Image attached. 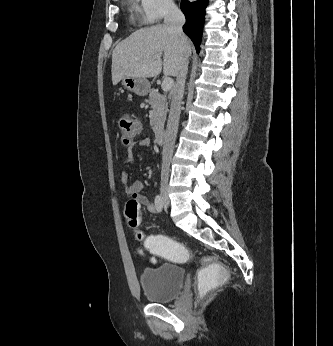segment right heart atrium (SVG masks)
Wrapping results in <instances>:
<instances>
[{"label":"right heart atrium","mask_w":333,"mask_h":346,"mask_svg":"<svg viewBox=\"0 0 333 346\" xmlns=\"http://www.w3.org/2000/svg\"><path fill=\"white\" fill-rule=\"evenodd\" d=\"M143 20L146 23H155L174 14L177 6L174 0H137Z\"/></svg>","instance_id":"d8ad5b80"}]
</instances>
